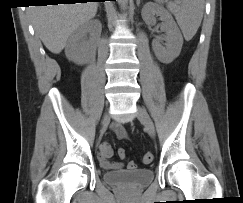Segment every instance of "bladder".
<instances>
[{"mask_svg": "<svg viewBox=\"0 0 243 203\" xmlns=\"http://www.w3.org/2000/svg\"><path fill=\"white\" fill-rule=\"evenodd\" d=\"M154 179V172L150 168L136 170L107 171L103 180L110 185L137 189L150 184Z\"/></svg>", "mask_w": 243, "mask_h": 203, "instance_id": "obj_1", "label": "bladder"}]
</instances>
